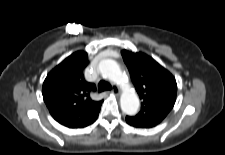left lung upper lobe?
Returning <instances> with one entry per match:
<instances>
[{"instance_id": "obj_1", "label": "left lung upper lobe", "mask_w": 225, "mask_h": 155, "mask_svg": "<svg viewBox=\"0 0 225 155\" xmlns=\"http://www.w3.org/2000/svg\"><path fill=\"white\" fill-rule=\"evenodd\" d=\"M132 82L139 94L140 112L130 117L133 126L151 128L169 114L176 101L175 78L153 58L142 53L122 51Z\"/></svg>"}]
</instances>
